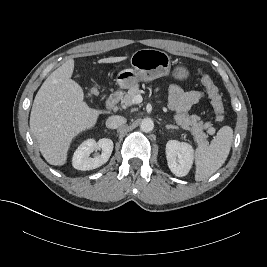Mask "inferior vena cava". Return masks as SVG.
<instances>
[{"instance_id":"inferior-vena-cava-1","label":"inferior vena cava","mask_w":267,"mask_h":267,"mask_svg":"<svg viewBox=\"0 0 267 267\" xmlns=\"http://www.w3.org/2000/svg\"><path fill=\"white\" fill-rule=\"evenodd\" d=\"M126 123V119L122 116L113 115L106 120V127L116 129Z\"/></svg>"}]
</instances>
